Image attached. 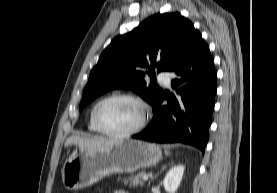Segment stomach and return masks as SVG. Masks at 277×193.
Here are the masks:
<instances>
[{
  "instance_id": "stomach-1",
  "label": "stomach",
  "mask_w": 277,
  "mask_h": 193,
  "mask_svg": "<svg viewBox=\"0 0 277 193\" xmlns=\"http://www.w3.org/2000/svg\"><path fill=\"white\" fill-rule=\"evenodd\" d=\"M162 157L153 143L123 139L101 149L76 148L62 168L63 185L78 190L116 173H132L154 166Z\"/></svg>"
}]
</instances>
